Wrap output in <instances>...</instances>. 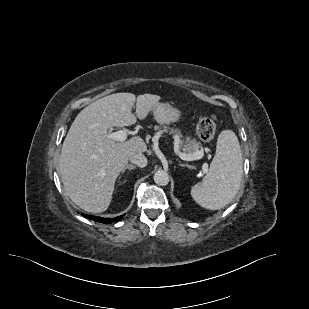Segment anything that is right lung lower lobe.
Masks as SVG:
<instances>
[{"label":"right lung lower lobe","instance_id":"1","mask_svg":"<svg viewBox=\"0 0 309 309\" xmlns=\"http://www.w3.org/2000/svg\"><path fill=\"white\" fill-rule=\"evenodd\" d=\"M82 216H84L85 218L94 220V221H98V222L104 223V224H109V223H111V222H116V221L120 220V219L123 217V215H121V216L116 217V218H107V219H104V218H102V217L91 216V215H85V214H82Z\"/></svg>","mask_w":309,"mask_h":309}]
</instances>
